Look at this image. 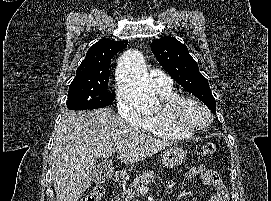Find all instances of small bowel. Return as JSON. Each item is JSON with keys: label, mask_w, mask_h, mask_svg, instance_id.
I'll return each instance as SVG.
<instances>
[{"label": "small bowel", "mask_w": 271, "mask_h": 201, "mask_svg": "<svg viewBox=\"0 0 271 201\" xmlns=\"http://www.w3.org/2000/svg\"><path fill=\"white\" fill-rule=\"evenodd\" d=\"M186 178H199L205 185L213 189V194L208 201H229L227 189L216 171L204 166H196L187 171ZM174 185L175 182L173 181L169 184L168 188H172Z\"/></svg>", "instance_id": "obj_1"}]
</instances>
